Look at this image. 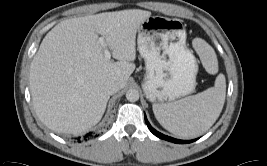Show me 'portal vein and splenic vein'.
Instances as JSON below:
<instances>
[{
    "label": "portal vein and splenic vein",
    "mask_w": 267,
    "mask_h": 166,
    "mask_svg": "<svg viewBox=\"0 0 267 166\" xmlns=\"http://www.w3.org/2000/svg\"><path fill=\"white\" fill-rule=\"evenodd\" d=\"M98 42L100 43V45L103 47V49H104V56H105V58L107 59V60H110V58H111V52L109 51V49H108V47H107V45H106V43H105V39H104V37H100L99 39H98Z\"/></svg>",
    "instance_id": "obj_1"
}]
</instances>
